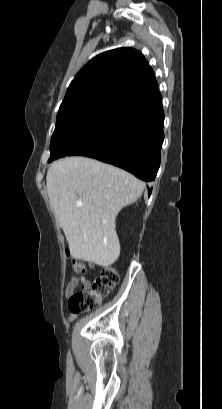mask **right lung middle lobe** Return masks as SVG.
Listing matches in <instances>:
<instances>
[{
  "instance_id": "right-lung-middle-lobe-1",
  "label": "right lung middle lobe",
  "mask_w": 222,
  "mask_h": 409,
  "mask_svg": "<svg viewBox=\"0 0 222 409\" xmlns=\"http://www.w3.org/2000/svg\"><path fill=\"white\" fill-rule=\"evenodd\" d=\"M117 103H99L60 110L51 137L50 158L87 155L102 143L117 112Z\"/></svg>"
}]
</instances>
